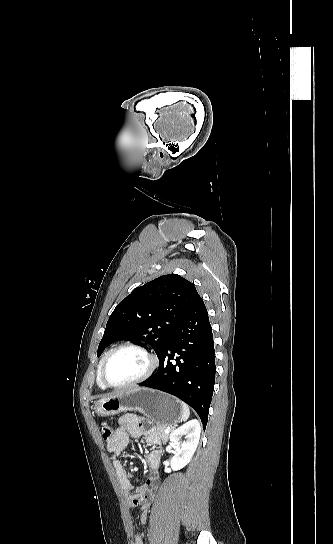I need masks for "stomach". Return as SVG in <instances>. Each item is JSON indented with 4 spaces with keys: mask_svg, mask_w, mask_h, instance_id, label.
<instances>
[{
    "mask_svg": "<svg viewBox=\"0 0 333 544\" xmlns=\"http://www.w3.org/2000/svg\"><path fill=\"white\" fill-rule=\"evenodd\" d=\"M138 411L151 418L157 426H171L181 418L180 401L164 392L149 388H133L98 400L95 412L110 416L120 412Z\"/></svg>",
    "mask_w": 333,
    "mask_h": 544,
    "instance_id": "1",
    "label": "stomach"
}]
</instances>
